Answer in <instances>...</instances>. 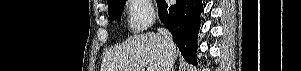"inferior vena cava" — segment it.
I'll use <instances>...</instances> for the list:
<instances>
[{"label":"inferior vena cava","mask_w":301,"mask_h":71,"mask_svg":"<svg viewBox=\"0 0 301 71\" xmlns=\"http://www.w3.org/2000/svg\"><path fill=\"white\" fill-rule=\"evenodd\" d=\"M158 32L162 36V38L164 39V43H165V51H164L161 71H171V68H172V65H173V54H172L173 40H172V35L166 28H158Z\"/></svg>","instance_id":"1"}]
</instances>
